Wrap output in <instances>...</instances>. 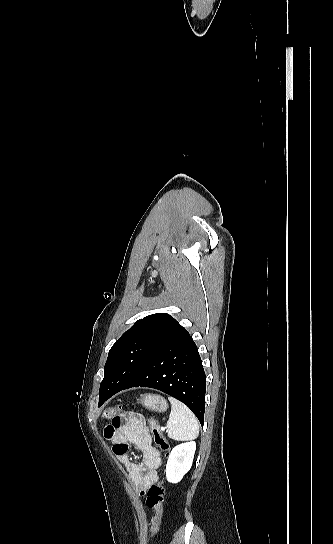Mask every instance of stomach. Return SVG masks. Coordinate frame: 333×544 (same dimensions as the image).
Instances as JSON below:
<instances>
[{
  "label": "stomach",
  "instance_id": "stomach-1",
  "mask_svg": "<svg viewBox=\"0 0 333 544\" xmlns=\"http://www.w3.org/2000/svg\"><path fill=\"white\" fill-rule=\"evenodd\" d=\"M141 403L146 408L157 411L164 412L168 408L167 400L157 394H145L142 396Z\"/></svg>",
  "mask_w": 333,
  "mask_h": 544
}]
</instances>
